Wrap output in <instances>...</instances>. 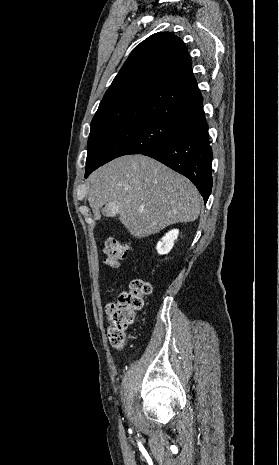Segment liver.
<instances>
[{
	"mask_svg": "<svg viewBox=\"0 0 279 465\" xmlns=\"http://www.w3.org/2000/svg\"><path fill=\"white\" fill-rule=\"evenodd\" d=\"M88 201L94 219L110 217L104 207L114 205L112 217L135 238L155 234L175 223L196 220L201 196L183 175L144 155H126L94 171Z\"/></svg>",
	"mask_w": 279,
	"mask_h": 465,
	"instance_id": "obj_1",
	"label": "liver"
}]
</instances>
